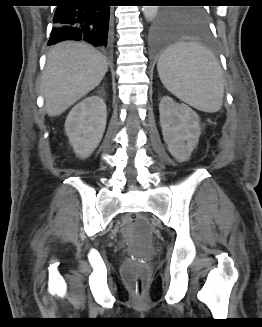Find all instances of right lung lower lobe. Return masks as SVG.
<instances>
[{
  "instance_id": "right-lung-lower-lobe-1",
  "label": "right lung lower lobe",
  "mask_w": 262,
  "mask_h": 327,
  "mask_svg": "<svg viewBox=\"0 0 262 327\" xmlns=\"http://www.w3.org/2000/svg\"><path fill=\"white\" fill-rule=\"evenodd\" d=\"M58 5L49 44L83 40L100 49L110 48V6L104 0H63Z\"/></svg>"
}]
</instances>
